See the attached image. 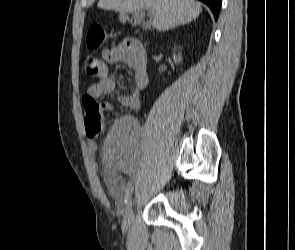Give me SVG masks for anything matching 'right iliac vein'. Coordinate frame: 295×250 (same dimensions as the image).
Segmentation results:
<instances>
[{"label":"right iliac vein","instance_id":"obj_1","mask_svg":"<svg viewBox=\"0 0 295 250\" xmlns=\"http://www.w3.org/2000/svg\"><path fill=\"white\" fill-rule=\"evenodd\" d=\"M134 198L130 197L127 207H126V214L122 220V232L123 234H126L129 231L131 219H132V208L134 205Z\"/></svg>","mask_w":295,"mask_h":250}]
</instances>
